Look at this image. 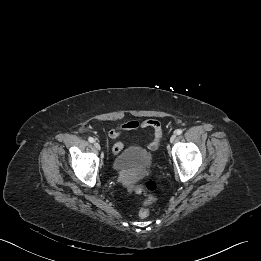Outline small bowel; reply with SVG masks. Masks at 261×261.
<instances>
[{
    "label": "small bowel",
    "mask_w": 261,
    "mask_h": 261,
    "mask_svg": "<svg viewBox=\"0 0 261 261\" xmlns=\"http://www.w3.org/2000/svg\"><path fill=\"white\" fill-rule=\"evenodd\" d=\"M152 129L155 134L154 140L149 144L150 148H156L161 137V124L155 119H145L142 121H128L121 125H118L108 132V137L112 140L118 139L124 131H134L138 129ZM124 147L122 141H116L113 143L112 152L117 155Z\"/></svg>",
    "instance_id": "obj_1"
}]
</instances>
